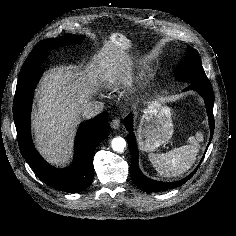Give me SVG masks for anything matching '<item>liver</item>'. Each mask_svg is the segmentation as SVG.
<instances>
[{"label":"liver","instance_id":"1","mask_svg":"<svg viewBox=\"0 0 236 236\" xmlns=\"http://www.w3.org/2000/svg\"><path fill=\"white\" fill-rule=\"evenodd\" d=\"M130 78L125 52L119 45L106 40L83 69L69 65L46 71L36 92L32 117L40 154L52 165L68 163L83 106L100 85H126Z\"/></svg>","mask_w":236,"mask_h":236}]
</instances>
